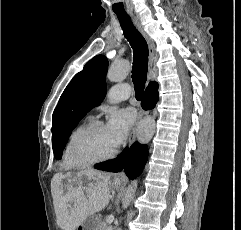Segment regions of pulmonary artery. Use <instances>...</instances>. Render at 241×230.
Segmentation results:
<instances>
[{
  "instance_id": "1",
  "label": "pulmonary artery",
  "mask_w": 241,
  "mask_h": 230,
  "mask_svg": "<svg viewBox=\"0 0 241 230\" xmlns=\"http://www.w3.org/2000/svg\"><path fill=\"white\" fill-rule=\"evenodd\" d=\"M130 96V87L127 84L112 87L108 93L111 102L127 99Z\"/></svg>"
}]
</instances>
